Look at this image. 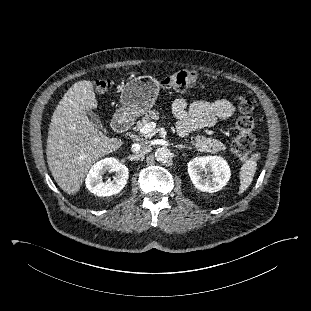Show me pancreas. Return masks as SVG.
Instances as JSON below:
<instances>
[{
    "label": "pancreas",
    "instance_id": "1",
    "mask_svg": "<svg viewBox=\"0 0 311 311\" xmlns=\"http://www.w3.org/2000/svg\"><path fill=\"white\" fill-rule=\"evenodd\" d=\"M159 116L160 113L158 111L150 110L145 116H143L142 120L137 122L136 130L139 131L146 123H149L152 120H158ZM191 143L200 151L219 152L225 150V146L222 142L217 139L207 138L203 135L193 137Z\"/></svg>",
    "mask_w": 311,
    "mask_h": 311
}]
</instances>
